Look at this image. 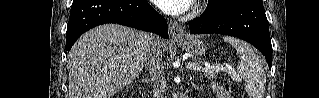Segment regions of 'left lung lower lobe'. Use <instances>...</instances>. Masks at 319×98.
<instances>
[{
  "label": "left lung lower lobe",
  "mask_w": 319,
  "mask_h": 98,
  "mask_svg": "<svg viewBox=\"0 0 319 98\" xmlns=\"http://www.w3.org/2000/svg\"><path fill=\"white\" fill-rule=\"evenodd\" d=\"M219 12L210 14L208 6L203 14L190 21L192 34L217 33L243 39L259 49L272 66V45L268 21L261 0H233L217 6Z\"/></svg>",
  "instance_id": "0a47b994"
}]
</instances>
